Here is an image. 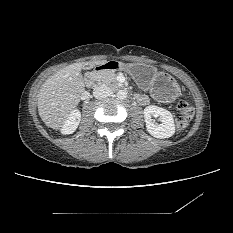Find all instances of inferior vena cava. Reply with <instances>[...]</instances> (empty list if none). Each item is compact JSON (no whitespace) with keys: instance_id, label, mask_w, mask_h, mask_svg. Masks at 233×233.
Here are the masks:
<instances>
[{"instance_id":"inferior-vena-cava-1","label":"inferior vena cava","mask_w":233,"mask_h":233,"mask_svg":"<svg viewBox=\"0 0 233 233\" xmlns=\"http://www.w3.org/2000/svg\"><path fill=\"white\" fill-rule=\"evenodd\" d=\"M93 95L96 99H103L112 95V90L107 86H98L94 88Z\"/></svg>"}]
</instances>
